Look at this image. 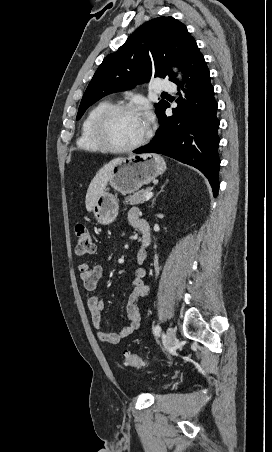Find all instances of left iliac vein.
Instances as JSON below:
<instances>
[{"instance_id":"left-iliac-vein-1","label":"left iliac vein","mask_w":272,"mask_h":452,"mask_svg":"<svg viewBox=\"0 0 272 452\" xmlns=\"http://www.w3.org/2000/svg\"><path fill=\"white\" fill-rule=\"evenodd\" d=\"M176 342V331L172 327H168L166 331V346L172 347Z\"/></svg>"}]
</instances>
